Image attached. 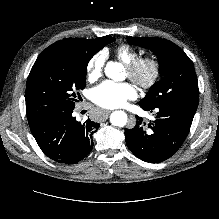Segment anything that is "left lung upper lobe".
I'll return each instance as SVG.
<instances>
[{
	"label": "left lung upper lobe",
	"instance_id": "left-lung-upper-lobe-1",
	"mask_svg": "<svg viewBox=\"0 0 219 219\" xmlns=\"http://www.w3.org/2000/svg\"><path fill=\"white\" fill-rule=\"evenodd\" d=\"M133 45L151 49L158 57L159 72L163 79L149 89L139 102L145 106L169 104L188 97H199L198 81L194 65L176 44L161 38L127 37Z\"/></svg>",
	"mask_w": 219,
	"mask_h": 219
}]
</instances>
